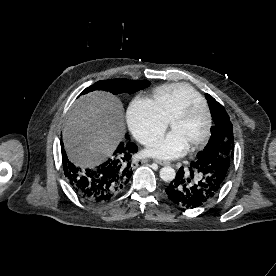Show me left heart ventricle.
<instances>
[{
	"label": "left heart ventricle",
	"mask_w": 276,
	"mask_h": 276,
	"mask_svg": "<svg viewBox=\"0 0 276 276\" xmlns=\"http://www.w3.org/2000/svg\"><path fill=\"white\" fill-rule=\"evenodd\" d=\"M206 124V114L198 111L189 119L172 123L171 129L178 132L190 148L202 138Z\"/></svg>",
	"instance_id": "b2bd125f"
}]
</instances>
